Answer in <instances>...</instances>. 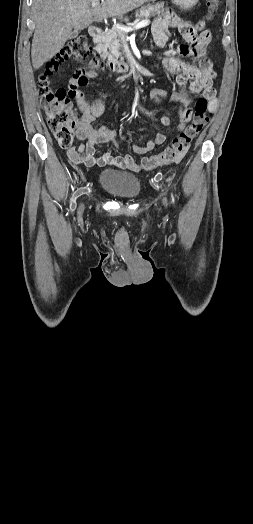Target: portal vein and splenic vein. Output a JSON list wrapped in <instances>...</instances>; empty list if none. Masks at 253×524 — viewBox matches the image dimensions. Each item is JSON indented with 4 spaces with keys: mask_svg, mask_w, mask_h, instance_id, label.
<instances>
[{
    "mask_svg": "<svg viewBox=\"0 0 253 524\" xmlns=\"http://www.w3.org/2000/svg\"><path fill=\"white\" fill-rule=\"evenodd\" d=\"M98 6H99V2H92L91 3V7L92 8H97ZM149 24H150V20L149 19H144V20L136 23L134 25V27H126V26L119 25V24L114 25V27H116L117 29H119L121 31L129 32V31H132V30H135V29H140L142 27L148 26Z\"/></svg>",
    "mask_w": 253,
    "mask_h": 524,
    "instance_id": "18ae733b",
    "label": "portal vein and splenic vein"
}]
</instances>
